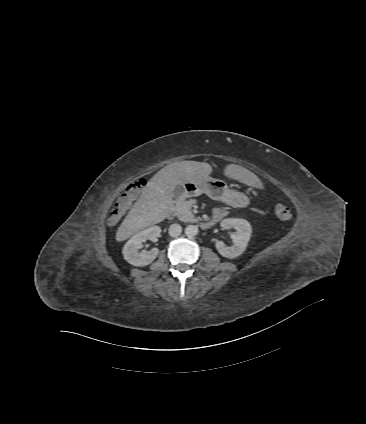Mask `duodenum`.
I'll return each instance as SVG.
<instances>
[{
    "label": "duodenum",
    "mask_w": 366,
    "mask_h": 424,
    "mask_svg": "<svg viewBox=\"0 0 366 424\" xmlns=\"http://www.w3.org/2000/svg\"><path fill=\"white\" fill-rule=\"evenodd\" d=\"M174 216V210L170 209V211L168 212V217H173ZM216 223V221L214 219L211 220H207L201 223V228L204 230L210 229L211 227L214 226V224Z\"/></svg>",
    "instance_id": "duodenum-1"
}]
</instances>
